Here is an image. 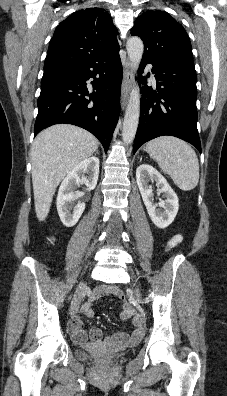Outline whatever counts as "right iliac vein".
Wrapping results in <instances>:
<instances>
[{
    "label": "right iliac vein",
    "mask_w": 227,
    "mask_h": 396,
    "mask_svg": "<svg viewBox=\"0 0 227 396\" xmlns=\"http://www.w3.org/2000/svg\"><path fill=\"white\" fill-rule=\"evenodd\" d=\"M85 292H86V286H85V284L82 283L77 287L74 297L72 299L71 315H74L78 312L80 303L85 296Z\"/></svg>",
    "instance_id": "obj_1"
}]
</instances>
